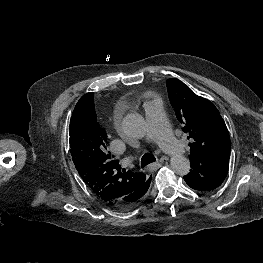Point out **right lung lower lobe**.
Masks as SVG:
<instances>
[{
	"instance_id": "obj_1",
	"label": "right lung lower lobe",
	"mask_w": 263,
	"mask_h": 263,
	"mask_svg": "<svg viewBox=\"0 0 263 263\" xmlns=\"http://www.w3.org/2000/svg\"><path fill=\"white\" fill-rule=\"evenodd\" d=\"M149 186H150V182L144 187V189L142 191V196L147 192ZM118 209H129V208L118 207Z\"/></svg>"
}]
</instances>
